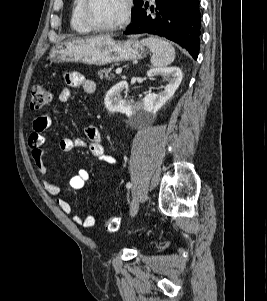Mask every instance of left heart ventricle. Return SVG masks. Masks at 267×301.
I'll return each instance as SVG.
<instances>
[{"instance_id":"b2bd125f","label":"left heart ventricle","mask_w":267,"mask_h":301,"mask_svg":"<svg viewBox=\"0 0 267 301\" xmlns=\"http://www.w3.org/2000/svg\"><path fill=\"white\" fill-rule=\"evenodd\" d=\"M124 0H92L90 16L100 25L116 23L124 11Z\"/></svg>"}]
</instances>
